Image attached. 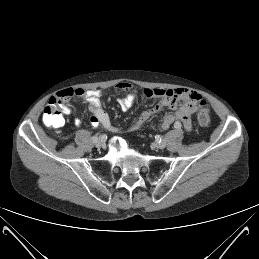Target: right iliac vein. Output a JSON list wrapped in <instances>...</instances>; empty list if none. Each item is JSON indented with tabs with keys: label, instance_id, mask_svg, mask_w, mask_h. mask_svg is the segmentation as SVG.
I'll return each instance as SVG.
<instances>
[{
	"label": "right iliac vein",
	"instance_id": "right-iliac-vein-1",
	"mask_svg": "<svg viewBox=\"0 0 259 259\" xmlns=\"http://www.w3.org/2000/svg\"><path fill=\"white\" fill-rule=\"evenodd\" d=\"M96 147H102L104 145L103 141L99 138L94 142Z\"/></svg>",
	"mask_w": 259,
	"mask_h": 259
}]
</instances>
